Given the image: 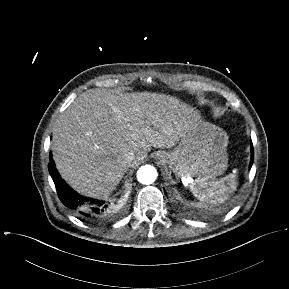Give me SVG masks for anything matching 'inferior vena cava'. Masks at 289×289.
<instances>
[{
  "instance_id": "obj_1",
  "label": "inferior vena cava",
  "mask_w": 289,
  "mask_h": 289,
  "mask_svg": "<svg viewBox=\"0 0 289 289\" xmlns=\"http://www.w3.org/2000/svg\"><path fill=\"white\" fill-rule=\"evenodd\" d=\"M124 162L128 167L134 166L137 163V157L134 153H128L125 155Z\"/></svg>"
}]
</instances>
